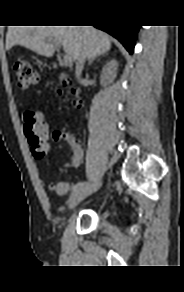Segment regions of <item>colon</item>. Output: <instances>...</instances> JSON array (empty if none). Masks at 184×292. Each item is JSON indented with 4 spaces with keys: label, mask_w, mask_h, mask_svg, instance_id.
<instances>
[{
    "label": "colon",
    "mask_w": 184,
    "mask_h": 292,
    "mask_svg": "<svg viewBox=\"0 0 184 292\" xmlns=\"http://www.w3.org/2000/svg\"><path fill=\"white\" fill-rule=\"evenodd\" d=\"M12 67L18 86L21 89H27L38 81L37 72L27 60L17 59ZM60 93L62 94L61 91ZM24 132L28 138L34 157L42 159L49 148V134L47 123L41 113L37 111H27L25 113ZM51 188L58 193L59 183L52 185Z\"/></svg>",
    "instance_id": "colon-1"
}]
</instances>
